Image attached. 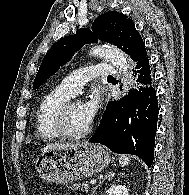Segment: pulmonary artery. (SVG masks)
Returning a JSON list of instances; mask_svg holds the SVG:
<instances>
[{"mask_svg":"<svg viewBox=\"0 0 189 195\" xmlns=\"http://www.w3.org/2000/svg\"><path fill=\"white\" fill-rule=\"evenodd\" d=\"M111 71L110 64L100 63L90 65L69 74L61 81L60 86L73 96L92 78L104 76L111 73Z\"/></svg>","mask_w":189,"mask_h":195,"instance_id":"pulmonary-artery-1","label":"pulmonary artery"}]
</instances>
